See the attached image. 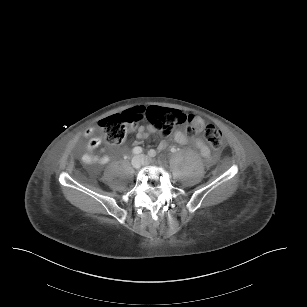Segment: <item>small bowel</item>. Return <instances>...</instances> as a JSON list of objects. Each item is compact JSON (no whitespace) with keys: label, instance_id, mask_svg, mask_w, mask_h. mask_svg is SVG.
Here are the masks:
<instances>
[{"label":"small bowel","instance_id":"obj_1","mask_svg":"<svg viewBox=\"0 0 307 307\" xmlns=\"http://www.w3.org/2000/svg\"><path fill=\"white\" fill-rule=\"evenodd\" d=\"M153 128L140 127L137 132V138L145 139L148 136V133L152 131ZM85 135L89 138V141L86 144L87 152L82 156V161L85 164H106L109 161L107 155H95L92 152L101 145V137L97 134L94 128H89L86 130ZM173 140L178 144H192L204 157L206 160H209L211 157V152L207 144L200 137L189 135L182 130H175L173 133ZM168 142L162 140L159 143V149L164 150L167 148Z\"/></svg>","mask_w":307,"mask_h":307}]
</instances>
